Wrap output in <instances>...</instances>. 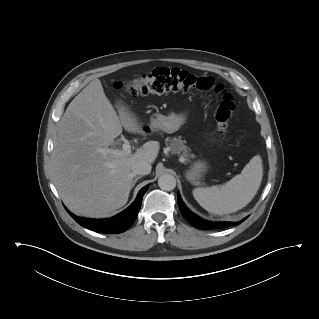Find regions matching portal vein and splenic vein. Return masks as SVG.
<instances>
[{
	"label": "portal vein and splenic vein",
	"instance_id": "18ae733b",
	"mask_svg": "<svg viewBox=\"0 0 319 319\" xmlns=\"http://www.w3.org/2000/svg\"><path fill=\"white\" fill-rule=\"evenodd\" d=\"M101 152L107 154H113L115 156H120V155H129L131 153V145L128 140H125L123 145H122V150L119 149H102Z\"/></svg>",
	"mask_w": 319,
	"mask_h": 319
}]
</instances>
